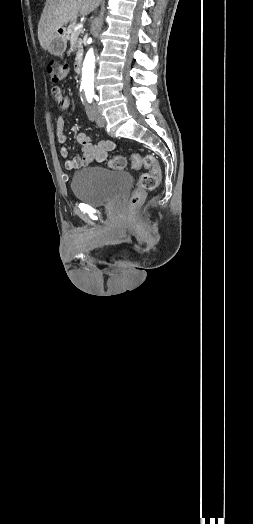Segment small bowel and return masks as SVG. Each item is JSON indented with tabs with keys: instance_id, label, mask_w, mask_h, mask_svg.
Listing matches in <instances>:
<instances>
[{
	"instance_id": "small-bowel-1",
	"label": "small bowel",
	"mask_w": 253,
	"mask_h": 524,
	"mask_svg": "<svg viewBox=\"0 0 253 524\" xmlns=\"http://www.w3.org/2000/svg\"><path fill=\"white\" fill-rule=\"evenodd\" d=\"M51 93L62 109H67L70 106V99L63 95L61 88L53 87ZM64 128V118L58 117L56 120V137L58 143L63 146L61 149V155L65 160L67 169L75 170L81 167H86L94 161L101 162L106 159L108 152L115 148V143L110 140H102L98 143H93L86 133L81 132L77 134V142L81 146L82 154L70 158L67 149L64 147L67 143V136L65 135Z\"/></svg>"
}]
</instances>
